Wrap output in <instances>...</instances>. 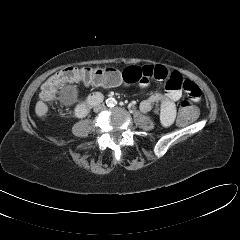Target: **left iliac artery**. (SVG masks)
Returning a JSON list of instances; mask_svg holds the SVG:
<instances>
[{
  "mask_svg": "<svg viewBox=\"0 0 240 240\" xmlns=\"http://www.w3.org/2000/svg\"><path fill=\"white\" fill-rule=\"evenodd\" d=\"M114 104L116 105V104H117V101H115ZM121 104H122V103H121Z\"/></svg>",
  "mask_w": 240,
  "mask_h": 240,
  "instance_id": "obj_1",
  "label": "left iliac artery"
}]
</instances>
